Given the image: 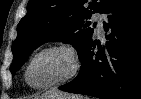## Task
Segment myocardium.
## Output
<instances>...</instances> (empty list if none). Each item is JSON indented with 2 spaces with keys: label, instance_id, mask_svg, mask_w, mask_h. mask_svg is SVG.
<instances>
[{
  "label": "myocardium",
  "instance_id": "obj_1",
  "mask_svg": "<svg viewBox=\"0 0 141 99\" xmlns=\"http://www.w3.org/2000/svg\"><path fill=\"white\" fill-rule=\"evenodd\" d=\"M53 50H62L69 54L72 60V69L70 73L67 76H65L64 78L56 82L50 83V84L41 85V86L32 84V82L30 81L29 73H30V69L33 63L43 53L48 52V51H53ZM80 69H81V59L75 47L67 43H57V44L46 46L34 54V56L30 59L26 67L25 79H26V82L34 89H37V90L51 89V88L66 84L70 82L71 80H73L78 75Z\"/></svg>",
  "mask_w": 141,
  "mask_h": 99
}]
</instances>
